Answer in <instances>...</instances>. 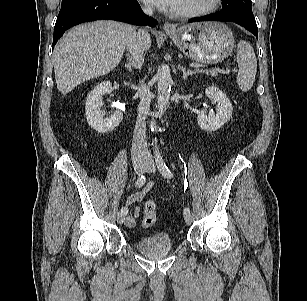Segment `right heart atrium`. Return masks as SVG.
<instances>
[{"label": "right heart atrium", "instance_id": "d8ad5b80", "mask_svg": "<svg viewBox=\"0 0 307 301\" xmlns=\"http://www.w3.org/2000/svg\"><path fill=\"white\" fill-rule=\"evenodd\" d=\"M145 7L148 9L149 7H148V5H145Z\"/></svg>", "mask_w": 307, "mask_h": 301}]
</instances>
